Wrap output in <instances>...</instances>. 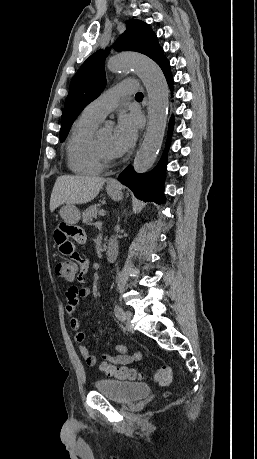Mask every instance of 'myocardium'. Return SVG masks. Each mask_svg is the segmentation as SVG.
I'll list each match as a JSON object with an SVG mask.
<instances>
[{
	"mask_svg": "<svg viewBox=\"0 0 257 459\" xmlns=\"http://www.w3.org/2000/svg\"><path fill=\"white\" fill-rule=\"evenodd\" d=\"M94 152L98 160L104 165L112 164L116 159L117 155L108 153L102 146L99 140V134L94 136Z\"/></svg>",
	"mask_w": 257,
	"mask_h": 459,
	"instance_id": "1",
	"label": "myocardium"
}]
</instances>
